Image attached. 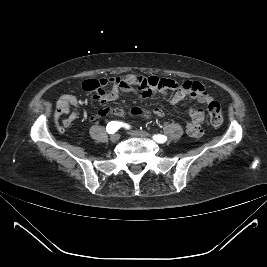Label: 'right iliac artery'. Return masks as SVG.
Returning a JSON list of instances; mask_svg holds the SVG:
<instances>
[{
    "instance_id": "right-iliac-artery-1",
    "label": "right iliac artery",
    "mask_w": 267,
    "mask_h": 267,
    "mask_svg": "<svg viewBox=\"0 0 267 267\" xmlns=\"http://www.w3.org/2000/svg\"><path fill=\"white\" fill-rule=\"evenodd\" d=\"M124 124L121 122H117V121H111L107 124L106 130L109 134H112L114 132H116L120 127H122ZM126 127H128L127 125H125Z\"/></svg>"
}]
</instances>
